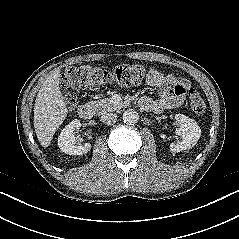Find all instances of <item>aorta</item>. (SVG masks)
<instances>
[{
  "label": "aorta",
  "mask_w": 239,
  "mask_h": 239,
  "mask_svg": "<svg viewBox=\"0 0 239 239\" xmlns=\"http://www.w3.org/2000/svg\"><path fill=\"white\" fill-rule=\"evenodd\" d=\"M138 119H139L138 113L133 109L126 110L123 113V122L125 124L134 125L137 123Z\"/></svg>",
  "instance_id": "aorta-1"
}]
</instances>
